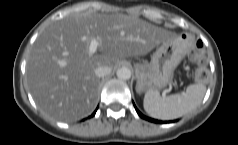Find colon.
<instances>
[{"label": "colon", "instance_id": "1", "mask_svg": "<svg viewBox=\"0 0 238 145\" xmlns=\"http://www.w3.org/2000/svg\"><path fill=\"white\" fill-rule=\"evenodd\" d=\"M191 58L198 66L195 71V79L200 82L205 81L208 77V70L204 67L206 61V52L202 41H196Z\"/></svg>", "mask_w": 238, "mask_h": 145}]
</instances>
